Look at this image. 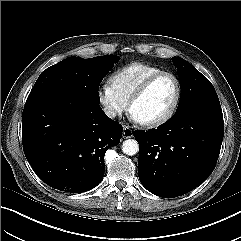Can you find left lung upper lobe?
<instances>
[{
  "label": "left lung upper lobe",
  "mask_w": 241,
  "mask_h": 241,
  "mask_svg": "<svg viewBox=\"0 0 241 241\" xmlns=\"http://www.w3.org/2000/svg\"><path fill=\"white\" fill-rule=\"evenodd\" d=\"M172 61L181 79V97L176 112L194 106H220L211 82L190 63L179 57Z\"/></svg>",
  "instance_id": "left-lung-upper-lobe-1"
}]
</instances>
